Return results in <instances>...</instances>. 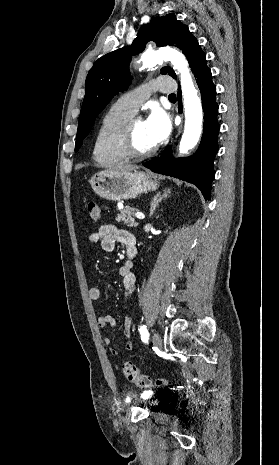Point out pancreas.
<instances>
[{
  "instance_id": "cf45deb5",
  "label": "pancreas",
  "mask_w": 279,
  "mask_h": 465,
  "mask_svg": "<svg viewBox=\"0 0 279 465\" xmlns=\"http://www.w3.org/2000/svg\"><path fill=\"white\" fill-rule=\"evenodd\" d=\"M120 213L116 217L117 222H123L125 225L129 227H136L138 223L135 222L133 218L134 209L130 208L129 206H125L123 209H119Z\"/></svg>"
}]
</instances>
